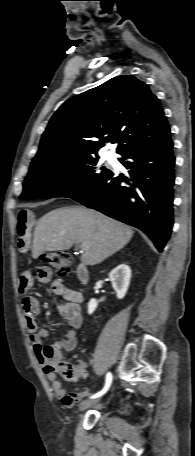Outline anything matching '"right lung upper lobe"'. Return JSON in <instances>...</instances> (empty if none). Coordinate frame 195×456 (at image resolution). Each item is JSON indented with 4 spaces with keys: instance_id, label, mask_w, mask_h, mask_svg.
<instances>
[{
    "instance_id": "right-lung-upper-lobe-1",
    "label": "right lung upper lobe",
    "mask_w": 195,
    "mask_h": 456,
    "mask_svg": "<svg viewBox=\"0 0 195 456\" xmlns=\"http://www.w3.org/2000/svg\"><path fill=\"white\" fill-rule=\"evenodd\" d=\"M158 98L133 76L112 78L68 99L52 116L31 166L74 156L97 155L106 142L117 153L170 139Z\"/></svg>"
}]
</instances>
